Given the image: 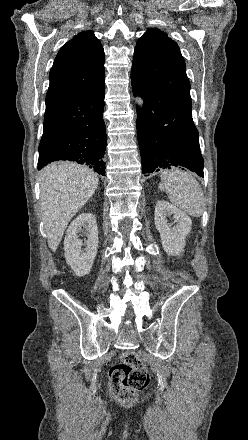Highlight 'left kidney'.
Returning <instances> with one entry per match:
<instances>
[{"label":"left kidney","mask_w":248,"mask_h":440,"mask_svg":"<svg viewBox=\"0 0 248 440\" xmlns=\"http://www.w3.org/2000/svg\"><path fill=\"white\" fill-rule=\"evenodd\" d=\"M155 226L160 233L162 247L168 255L179 256L184 252L185 239L191 232V218L167 201H158L154 212ZM173 216L175 226L167 223Z\"/></svg>","instance_id":"obj_1"}]
</instances>
